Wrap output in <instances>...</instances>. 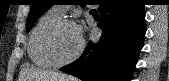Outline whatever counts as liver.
I'll return each instance as SVG.
<instances>
[{"mask_svg": "<svg viewBox=\"0 0 169 81\" xmlns=\"http://www.w3.org/2000/svg\"><path fill=\"white\" fill-rule=\"evenodd\" d=\"M23 72V81H76L74 77L63 73L38 70L29 66H26Z\"/></svg>", "mask_w": 169, "mask_h": 81, "instance_id": "6515ba94", "label": "liver"}]
</instances>
